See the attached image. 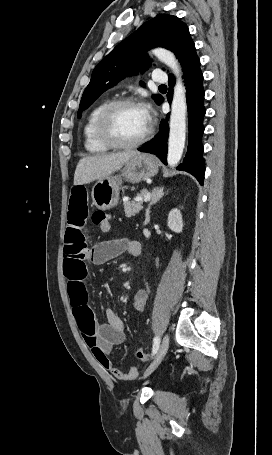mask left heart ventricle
<instances>
[{"mask_svg": "<svg viewBox=\"0 0 272 455\" xmlns=\"http://www.w3.org/2000/svg\"><path fill=\"white\" fill-rule=\"evenodd\" d=\"M148 123L137 106H125L115 111L110 127L113 135L121 142L137 140L145 132Z\"/></svg>", "mask_w": 272, "mask_h": 455, "instance_id": "obj_1", "label": "left heart ventricle"}]
</instances>
